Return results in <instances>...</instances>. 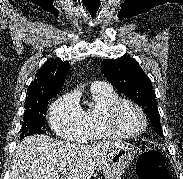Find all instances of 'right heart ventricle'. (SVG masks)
Wrapping results in <instances>:
<instances>
[{
	"label": "right heart ventricle",
	"instance_id": "right-heart-ventricle-1",
	"mask_svg": "<svg viewBox=\"0 0 183 179\" xmlns=\"http://www.w3.org/2000/svg\"><path fill=\"white\" fill-rule=\"evenodd\" d=\"M92 97L94 106L84 111L87 127L84 140L90 141L111 138L112 136L104 131L100 118L103 110L120 97L111 88L92 89Z\"/></svg>",
	"mask_w": 183,
	"mask_h": 179
}]
</instances>
